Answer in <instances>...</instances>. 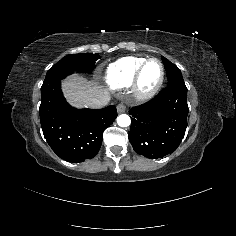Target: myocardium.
<instances>
[{
	"label": "myocardium",
	"mask_w": 236,
	"mask_h": 236,
	"mask_svg": "<svg viewBox=\"0 0 236 236\" xmlns=\"http://www.w3.org/2000/svg\"><path fill=\"white\" fill-rule=\"evenodd\" d=\"M153 61H156L161 65L162 75H161V78H160L158 84L152 90L144 92L139 87L140 78H141L142 73L145 70L146 66L150 62H153ZM165 79H166V68H165L164 63L156 57L148 58L139 66V68L137 69V71L134 75L133 81L131 83V93L137 101L147 102V101L153 99L159 93L160 89L162 88V86L165 82Z\"/></svg>",
	"instance_id": "1"
}]
</instances>
